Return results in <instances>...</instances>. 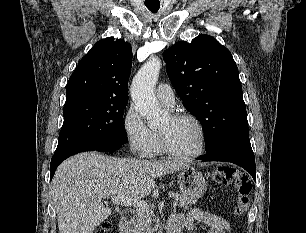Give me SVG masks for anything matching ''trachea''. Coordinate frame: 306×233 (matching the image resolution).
<instances>
[{
    "mask_svg": "<svg viewBox=\"0 0 306 233\" xmlns=\"http://www.w3.org/2000/svg\"><path fill=\"white\" fill-rule=\"evenodd\" d=\"M145 5L153 13H156L160 8V4H145Z\"/></svg>",
    "mask_w": 306,
    "mask_h": 233,
    "instance_id": "1",
    "label": "trachea"
}]
</instances>
